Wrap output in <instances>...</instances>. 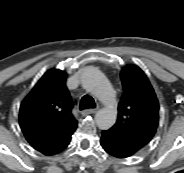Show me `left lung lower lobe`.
Listing matches in <instances>:
<instances>
[{
    "instance_id": "obj_1",
    "label": "left lung lower lobe",
    "mask_w": 184,
    "mask_h": 173,
    "mask_svg": "<svg viewBox=\"0 0 184 173\" xmlns=\"http://www.w3.org/2000/svg\"><path fill=\"white\" fill-rule=\"evenodd\" d=\"M100 143L108 154L116 158H127L137 153L110 130L102 131Z\"/></svg>"
}]
</instances>
